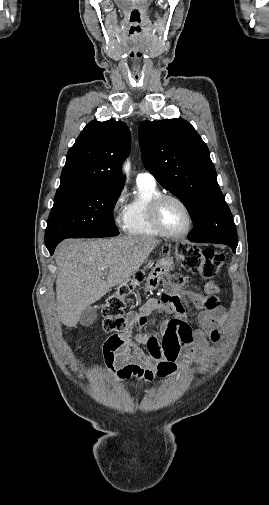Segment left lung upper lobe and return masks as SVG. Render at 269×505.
Here are the masks:
<instances>
[{"instance_id": "left-lung-upper-lobe-1", "label": "left lung upper lobe", "mask_w": 269, "mask_h": 505, "mask_svg": "<svg viewBox=\"0 0 269 505\" xmlns=\"http://www.w3.org/2000/svg\"><path fill=\"white\" fill-rule=\"evenodd\" d=\"M139 143L145 168L189 209L195 242L237 245L232 214L207 145L183 119L144 121Z\"/></svg>"}]
</instances>
